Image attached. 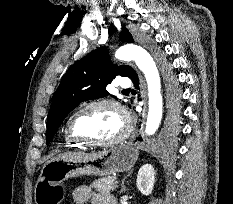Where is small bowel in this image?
<instances>
[{
    "mask_svg": "<svg viewBox=\"0 0 233 204\" xmlns=\"http://www.w3.org/2000/svg\"><path fill=\"white\" fill-rule=\"evenodd\" d=\"M75 204H117L115 197L109 193L95 192L88 186H79L73 191Z\"/></svg>",
    "mask_w": 233,
    "mask_h": 204,
    "instance_id": "c3829d8e",
    "label": "small bowel"
}]
</instances>
